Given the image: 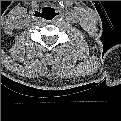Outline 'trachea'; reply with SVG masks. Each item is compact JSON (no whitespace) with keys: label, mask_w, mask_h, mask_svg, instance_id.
I'll use <instances>...</instances> for the list:
<instances>
[{"label":"trachea","mask_w":121,"mask_h":121,"mask_svg":"<svg viewBox=\"0 0 121 121\" xmlns=\"http://www.w3.org/2000/svg\"><path fill=\"white\" fill-rule=\"evenodd\" d=\"M56 16L55 10L53 8L46 7L43 11V18L46 20H52Z\"/></svg>","instance_id":"trachea-1"}]
</instances>
